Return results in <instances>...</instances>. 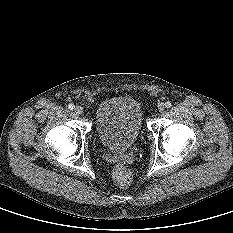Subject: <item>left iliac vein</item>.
Returning a JSON list of instances; mask_svg holds the SVG:
<instances>
[{
  "instance_id": "obj_1",
  "label": "left iliac vein",
  "mask_w": 233,
  "mask_h": 233,
  "mask_svg": "<svg viewBox=\"0 0 233 233\" xmlns=\"http://www.w3.org/2000/svg\"><path fill=\"white\" fill-rule=\"evenodd\" d=\"M158 111L162 112L165 109V104L164 103H159L157 106Z\"/></svg>"
}]
</instances>
